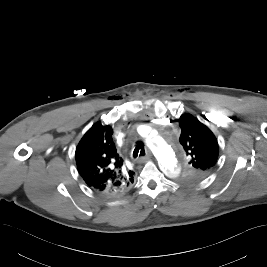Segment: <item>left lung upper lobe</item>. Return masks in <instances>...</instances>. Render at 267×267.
I'll return each mask as SVG.
<instances>
[{
	"instance_id": "left-lung-upper-lobe-1",
	"label": "left lung upper lobe",
	"mask_w": 267,
	"mask_h": 267,
	"mask_svg": "<svg viewBox=\"0 0 267 267\" xmlns=\"http://www.w3.org/2000/svg\"><path fill=\"white\" fill-rule=\"evenodd\" d=\"M183 146L188 163L182 176L185 183H196L208 177L218 158V142L211 130L190 114L179 119Z\"/></svg>"
}]
</instances>
